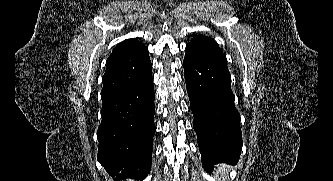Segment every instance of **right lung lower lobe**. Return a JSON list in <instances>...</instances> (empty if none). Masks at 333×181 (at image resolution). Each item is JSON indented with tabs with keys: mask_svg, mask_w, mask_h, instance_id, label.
Instances as JSON below:
<instances>
[{
	"mask_svg": "<svg viewBox=\"0 0 333 181\" xmlns=\"http://www.w3.org/2000/svg\"><path fill=\"white\" fill-rule=\"evenodd\" d=\"M152 74L102 98L98 161L111 175L142 181L151 167L154 125Z\"/></svg>",
	"mask_w": 333,
	"mask_h": 181,
	"instance_id": "98d812e1",
	"label": "right lung lower lobe"
}]
</instances>
